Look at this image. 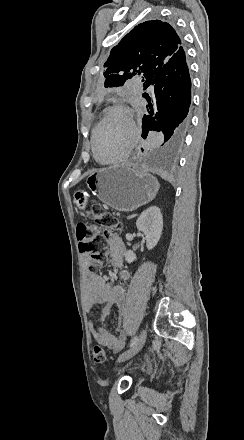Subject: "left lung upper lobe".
<instances>
[{
  "label": "left lung upper lobe",
  "mask_w": 244,
  "mask_h": 440,
  "mask_svg": "<svg viewBox=\"0 0 244 440\" xmlns=\"http://www.w3.org/2000/svg\"><path fill=\"white\" fill-rule=\"evenodd\" d=\"M185 59L180 37L167 22L151 20L137 25L113 47L105 63L104 86L118 87L133 76H144V85L163 66Z\"/></svg>",
  "instance_id": "5c2ea615"
}]
</instances>
